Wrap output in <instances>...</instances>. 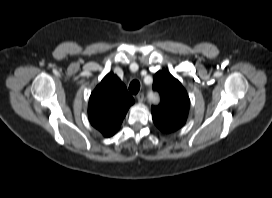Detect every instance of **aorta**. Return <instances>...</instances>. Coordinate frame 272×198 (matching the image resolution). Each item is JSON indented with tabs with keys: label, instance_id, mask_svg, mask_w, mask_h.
Instances as JSON below:
<instances>
[{
	"label": "aorta",
	"instance_id": "762f6f07",
	"mask_svg": "<svg viewBox=\"0 0 272 198\" xmlns=\"http://www.w3.org/2000/svg\"><path fill=\"white\" fill-rule=\"evenodd\" d=\"M149 99H150V101H156L157 100V96L153 95V94H150L149 95Z\"/></svg>",
	"mask_w": 272,
	"mask_h": 198
}]
</instances>
